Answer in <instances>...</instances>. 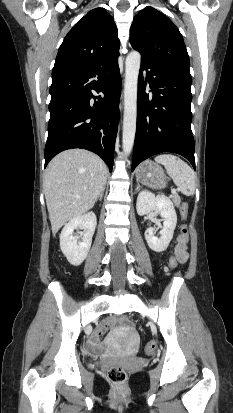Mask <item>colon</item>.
I'll list each match as a JSON object with an SVG mask.
<instances>
[{
  "mask_svg": "<svg viewBox=\"0 0 233 413\" xmlns=\"http://www.w3.org/2000/svg\"><path fill=\"white\" fill-rule=\"evenodd\" d=\"M181 214L182 218L185 220L188 215V205L186 203H183L181 206ZM183 240H187L188 238V227L186 224H183L180 229V234H179ZM178 263V257L177 254H174V256L171 257L170 262H169V269L173 270L176 268ZM156 349V344L155 342L151 341L149 342L146 347H145V352L147 354H152ZM127 372L125 368L121 366H112L108 370V377L110 378L111 381L114 383H122L125 378H126Z\"/></svg>",
  "mask_w": 233,
  "mask_h": 413,
  "instance_id": "obj_1",
  "label": "colon"
}]
</instances>
